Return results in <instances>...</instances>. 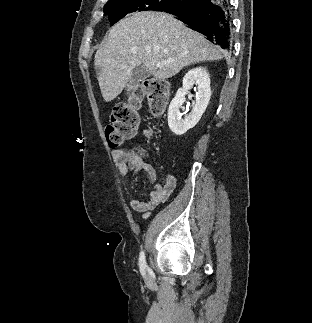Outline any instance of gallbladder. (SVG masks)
<instances>
[{
    "label": "gallbladder",
    "instance_id": "obj_1",
    "mask_svg": "<svg viewBox=\"0 0 312 323\" xmlns=\"http://www.w3.org/2000/svg\"><path fill=\"white\" fill-rule=\"evenodd\" d=\"M149 76L150 72L147 70L146 66H137V68H133L131 78L127 84V94L136 90L138 84L143 82V80H146V78H149Z\"/></svg>",
    "mask_w": 312,
    "mask_h": 323
}]
</instances>
